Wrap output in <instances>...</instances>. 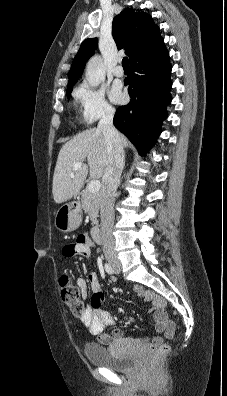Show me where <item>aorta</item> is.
Returning a JSON list of instances; mask_svg holds the SVG:
<instances>
[{
    "label": "aorta",
    "instance_id": "762f6f07",
    "mask_svg": "<svg viewBox=\"0 0 227 396\" xmlns=\"http://www.w3.org/2000/svg\"><path fill=\"white\" fill-rule=\"evenodd\" d=\"M86 79L91 87H97L105 79L103 60L100 56H93L86 66Z\"/></svg>",
    "mask_w": 227,
    "mask_h": 396
}]
</instances>
